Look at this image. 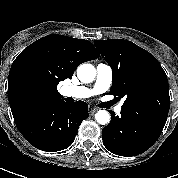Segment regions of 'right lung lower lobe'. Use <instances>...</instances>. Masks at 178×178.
I'll list each match as a JSON object with an SVG mask.
<instances>
[{"label": "right lung lower lobe", "instance_id": "right-lung-lower-lobe-1", "mask_svg": "<svg viewBox=\"0 0 178 178\" xmlns=\"http://www.w3.org/2000/svg\"><path fill=\"white\" fill-rule=\"evenodd\" d=\"M89 116L84 101L66 103L63 99L24 107L13 118L24 138L46 152L68 148L81 122Z\"/></svg>", "mask_w": 178, "mask_h": 178}]
</instances>
